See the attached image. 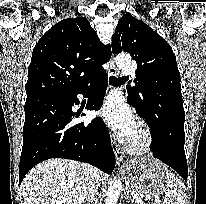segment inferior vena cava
Listing matches in <instances>:
<instances>
[{
  "label": "inferior vena cava",
  "mask_w": 206,
  "mask_h": 204,
  "mask_svg": "<svg viewBox=\"0 0 206 204\" xmlns=\"http://www.w3.org/2000/svg\"><path fill=\"white\" fill-rule=\"evenodd\" d=\"M90 170L92 172V176L87 184V197L86 198L90 197L91 199H93L99 187V182L101 180L100 179L101 173L97 168H94L93 166H90Z\"/></svg>",
  "instance_id": "inferior-vena-cava-1"
}]
</instances>
